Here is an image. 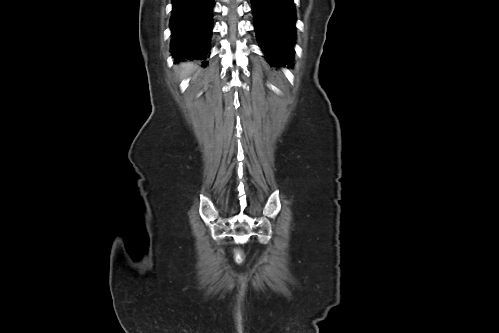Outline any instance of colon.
I'll list each match as a JSON object with an SVG mask.
<instances>
[{
  "instance_id": "5ec220e1",
  "label": "colon",
  "mask_w": 499,
  "mask_h": 333,
  "mask_svg": "<svg viewBox=\"0 0 499 333\" xmlns=\"http://www.w3.org/2000/svg\"><path fill=\"white\" fill-rule=\"evenodd\" d=\"M237 260L241 262L243 260V257L240 253H237Z\"/></svg>"
}]
</instances>
